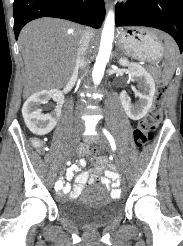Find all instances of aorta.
Wrapping results in <instances>:
<instances>
[{
    "instance_id": "obj_1",
    "label": "aorta",
    "mask_w": 183,
    "mask_h": 246,
    "mask_svg": "<svg viewBox=\"0 0 183 246\" xmlns=\"http://www.w3.org/2000/svg\"><path fill=\"white\" fill-rule=\"evenodd\" d=\"M115 30V15L110 10L105 18L102 30L99 52L92 71V79L95 85H98L104 75L105 67L109 61Z\"/></svg>"
}]
</instances>
